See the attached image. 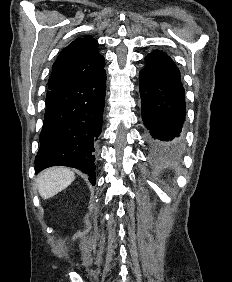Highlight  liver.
I'll use <instances>...</instances> for the list:
<instances>
[{"label":"liver","mask_w":232,"mask_h":282,"mask_svg":"<svg viewBox=\"0 0 232 282\" xmlns=\"http://www.w3.org/2000/svg\"><path fill=\"white\" fill-rule=\"evenodd\" d=\"M74 179V172L68 168H48L38 175L37 189L43 199H48L67 188Z\"/></svg>","instance_id":"liver-1"}]
</instances>
